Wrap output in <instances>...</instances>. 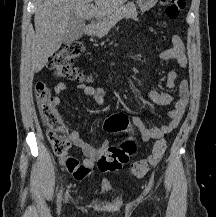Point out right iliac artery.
I'll list each match as a JSON object with an SVG mask.
<instances>
[{"label": "right iliac artery", "instance_id": "right-iliac-artery-1", "mask_svg": "<svg viewBox=\"0 0 216 217\" xmlns=\"http://www.w3.org/2000/svg\"><path fill=\"white\" fill-rule=\"evenodd\" d=\"M61 197H62V190H60V192L58 194V199H57L58 205H60V203H61Z\"/></svg>", "mask_w": 216, "mask_h": 217}]
</instances>
